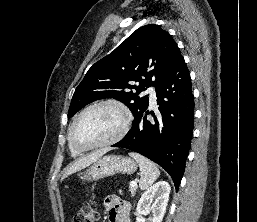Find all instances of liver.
Segmentation results:
<instances>
[{
  "mask_svg": "<svg viewBox=\"0 0 257 222\" xmlns=\"http://www.w3.org/2000/svg\"><path fill=\"white\" fill-rule=\"evenodd\" d=\"M108 151L109 149H101L99 151H96L95 153L87 155L86 157L76 160L74 163H72L65 169L62 179L96 162Z\"/></svg>",
  "mask_w": 257,
  "mask_h": 222,
  "instance_id": "liver-1",
  "label": "liver"
}]
</instances>
